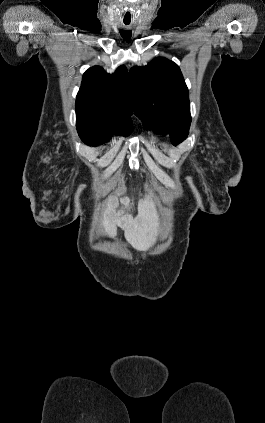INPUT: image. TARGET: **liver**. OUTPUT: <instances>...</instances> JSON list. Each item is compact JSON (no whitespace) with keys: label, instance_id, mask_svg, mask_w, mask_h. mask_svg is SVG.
I'll return each instance as SVG.
<instances>
[{"label":"liver","instance_id":"liver-1","mask_svg":"<svg viewBox=\"0 0 265 423\" xmlns=\"http://www.w3.org/2000/svg\"><path fill=\"white\" fill-rule=\"evenodd\" d=\"M118 201L107 200V207L103 214L102 225L109 236L117 234V226L124 230L127 242L136 250L147 251L157 240L158 215L152 202H144L138 206L136 219L123 216L116 212Z\"/></svg>","mask_w":265,"mask_h":423}]
</instances>
